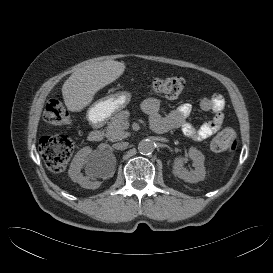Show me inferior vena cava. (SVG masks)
Instances as JSON below:
<instances>
[{"instance_id": "1", "label": "inferior vena cava", "mask_w": 273, "mask_h": 273, "mask_svg": "<svg viewBox=\"0 0 273 273\" xmlns=\"http://www.w3.org/2000/svg\"><path fill=\"white\" fill-rule=\"evenodd\" d=\"M128 145V142H118L113 145V148L116 150H125L127 149Z\"/></svg>"}]
</instances>
